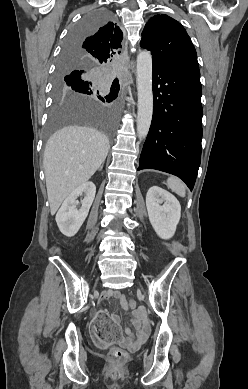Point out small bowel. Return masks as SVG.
Returning a JSON list of instances; mask_svg holds the SVG:
<instances>
[{
  "label": "small bowel",
  "instance_id": "1",
  "mask_svg": "<svg viewBox=\"0 0 248 389\" xmlns=\"http://www.w3.org/2000/svg\"><path fill=\"white\" fill-rule=\"evenodd\" d=\"M104 299H119L121 304L126 307V300L121 291L118 290H108L103 294ZM111 318L114 321H118L119 317L117 315L112 314ZM131 322L133 326L137 329V334L135 335L134 332L130 328L125 329V337L123 340H119V342L124 345L125 347L129 349H135L138 348L147 338L150 328L149 325L143 315V312L141 310H136L132 314Z\"/></svg>",
  "mask_w": 248,
  "mask_h": 389
}]
</instances>
